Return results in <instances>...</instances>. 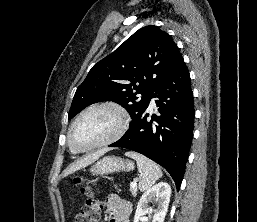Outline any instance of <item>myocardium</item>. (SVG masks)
<instances>
[{
	"mask_svg": "<svg viewBox=\"0 0 257 222\" xmlns=\"http://www.w3.org/2000/svg\"><path fill=\"white\" fill-rule=\"evenodd\" d=\"M98 109H108L112 110L115 112L118 117H119V125L117 130L107 139L93 145L87 148H79L77 147L74 142H73V130L78 123V121L87 113L98 110ZM130 122V115L128 110L123 106L121 103L113 101V100H106V101H101L95 104L90 105L89 107L85 108L83 111H81L74 121L72 122L69 131H68V144L72 151L77 152V153H84L88 151H92L101 147L108 146L110 144L115 143L119 139L123 137V135L126 133L128 126Z\"/></svg>",
	"mask_w": 257,
	"mask_h": 222,
	"instance_id": "f54148a6",
	"label": "myocardium"
}]
</instances>
